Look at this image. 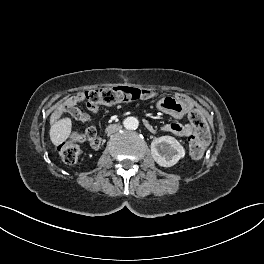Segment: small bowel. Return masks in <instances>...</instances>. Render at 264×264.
<instances>
[{"label":"small bowel","mask_w":264,"mask_h":264,"mask_svg":"<svg viewBox=\"0 0 264 264\" xmlns=\"http://www.w3.org/2000/svg\"><path fill=\"white\" fill-rule=\"evenodd\" d=\"M155 95L156 92L152 89H144L141 91V97L145 100L152 99L155 97ZM88 107H89V113L80 110L76 106V104H70L66 102L59 110L57 117H59L61 113L65 110L74 119L88 123L89 126L87 128L86 133L88 135L89 144L93 149H98L101 145V140L97 136L96 128L92 121V114L97 113L98 106H88ZM190 107H191V102L184 95H178L175 97H166L161 99L157 104L158 110L172 116L175 119H180L183 116H185L188 110L190 109ZM146 126L151 132L156 131L150 124L146 123ZM68 127H70V125H68ZM162 130L164 132H169L177 136L187 137L193 133L194 128L190 124H183L176 121L165 124L162 127Z\"/></svg>","instance_id":"c3829d8e"}]
</instances>
